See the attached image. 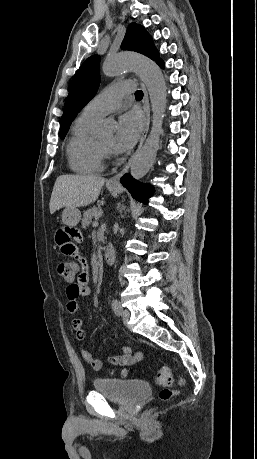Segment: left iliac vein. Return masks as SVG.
I'll return each instance as SVG.
<instances>
[{"mask_svg":"<svg viewBox=\"0 0 257 459\" xmlns=\"http://www.w3.org/2000/svg\"><path fill=\"white\" fill-rule=\"evenodd\" d=\"M122 317H123V323L125 326H129V318H130V312L128 310H122Z\"/></svg>","mask_w":257,"mask_h":459,"instance_id":"left-iliac-vein-1","label":"left iliac vein"}]
</instances>
